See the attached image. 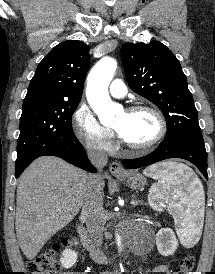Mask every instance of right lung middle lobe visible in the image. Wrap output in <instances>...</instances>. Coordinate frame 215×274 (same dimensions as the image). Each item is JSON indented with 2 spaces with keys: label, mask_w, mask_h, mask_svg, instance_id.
<instances>
[{
  "label": "right lung middle lobe",
  "mask_w": 215,
  "mask_h": 274,
  "mask_svg": "<svg viewBox=\"0 0 215 274\" xmlns=\"http://www.w3.org/2000/svg\"><path fill=\"white\" fill-rule=\"evenodd\" d=\"M78 104L55 100L23 103L16 166L44 149L76 141L71 119Z\"/></svg>",
  "instance_id": "obj_1"
}]
</instances>
